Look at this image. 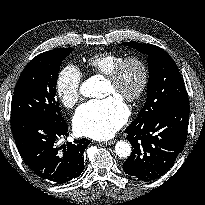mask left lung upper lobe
Returning <instances> with one entry per match:
<instances>
[{"mask_svg": "<svg viewBox=\"0 0 205 205\" xmlns=\"http://www.w3.org/2000/svg\"><path fill=\"white\" fill-rule=\"evenodd\" d=\"M123 45L148 55L149 81L144 107L132 124L144 123L166 107L188 101L180 72L173 59L160 47L135 41Z\"/></svg>", "mask_w": 205, "mask_h": 205, "instance_id": "obj_1", "label": "left lung upper lobe"}]
</instances>
